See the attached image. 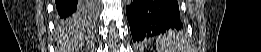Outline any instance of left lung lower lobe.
<instances>
[{
	"mask_svg": "<svg viewBox=\"0 0 261 52\" xmlns=\"http://www.w3.org/2000/svg\"><path fill=\"white\" fill-rule=\"evenodd\" d=\"M126 13L134 42L182 27L176 0H134Z\"/></svg>",
	"mask_w": 261,
	"mask_h": 52,
	"instance_id": "1",
	"label": "left lung lower lobe"
}]
</instances>
